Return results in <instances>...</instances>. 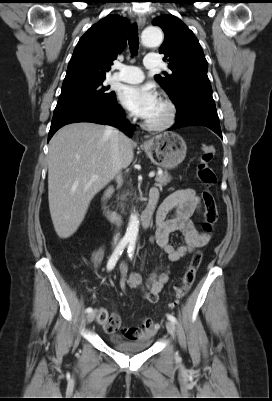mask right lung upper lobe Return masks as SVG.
Instances as JSON below:
<instances>
[{
	"label": "right lung upper lobe",
	"instance_id": "cb5924a9",
	"mask_svg": "<svg viewBox=\"0 0 272 401\" xmlns=\"http://www.w3.org/2000/svg\"><path fill=\"white\" fill-rule=\"evenodd\" d=\"M129 21L108 15L80 38L70 59L62 90L104 80L113 60L126 47Z\"/></svg>",
	"mask_w": 272,
	"mask_h": 401
}]
</instances>
